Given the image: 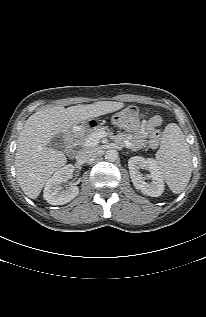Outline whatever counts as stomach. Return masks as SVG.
<instances>
[{
  "instance_id": "obj_1",
  "label": "stomach",
  "mask_w": 206,
  "mask_h": 317,
  "mask_svg": "<svg viewBox=\"0 0 206 317\" xmlns=\"http://www.w3.org/2000/svg\"><path fill=\"white\" fill-rule=\"evenodd\" d=\"M108 120L103 115L93 116L88 119H84L79 124L80 131L96 129L98 127H107Z\"/></svg>"
}]
</instances>
